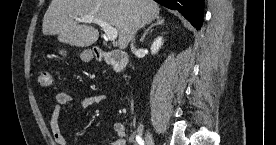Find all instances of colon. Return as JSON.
Instances as JSON below:
<instances>
[{"instance_id":"obj_1","label":"colon","mask_w":276,"mask_h":145,"mask_svg":"<svg viewBox=\"0 0 276 145\" xmlns=\"http://www.w3.org/2000/svg\"><path fill=\"white\" fill-rule=\"evenodd\" d=\"M37 84L45 88L52 87L54 85L52 72L48 69H40L37 74Z\"/></svg>"}]
</instances>
